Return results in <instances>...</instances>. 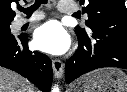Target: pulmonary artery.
<instances>
[{
	"mask_svg": "<svg viewBox=\"0 0 127 92\" xmlns=\"http://www.w3.org/2000/svg\"><path fill=\"white\" fill-rule=\"evenodd\" d=\"M58 8H59V11L61 13H72V12H75L77 10V7L70 4V3H67V2H64V1H60L59 4H58ZM43 18V14L41 12H35L30 18H18L16 21H15V25L16 27H21L25 24H28V23H33L35 21H38L40 19Z\"/></svg>",
	"mask_w": 127,
	"mask_h": 92,
	"instance_id": "1",
	"label": "pulmonary artery"
}]
</instances>
